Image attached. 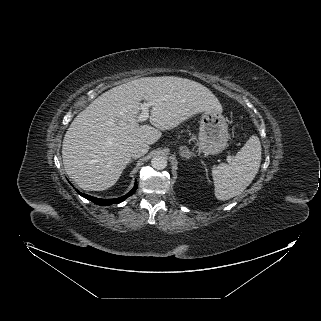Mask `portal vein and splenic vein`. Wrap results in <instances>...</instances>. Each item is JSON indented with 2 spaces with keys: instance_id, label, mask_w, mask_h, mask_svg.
<instances>
[{
  "instance_id": "1",
  "label": "portal vein and splenic vein",
  "mask_w": 321,
  "mask_h": 321,
  "mask_svg": "<svg viewBox=\"0 0 321 321\" xmlns=\"http://www.w3.org/2000/svg\"><path fill=\"white\" fill-rule=\"evenodd\" d=\"M154 102H147L140 105L142 112L138 116V122L145 121L149 118V107L153 106ZM228 161L231 160V157L227 158Z\"/></svg>"
}]
</instances>
